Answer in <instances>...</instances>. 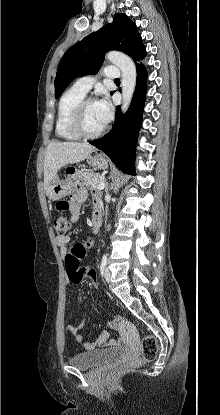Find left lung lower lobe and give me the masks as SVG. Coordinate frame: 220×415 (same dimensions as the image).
Listing matches in <instances>:
<instances>
[{
    "instance_id": "obj_1",
    "label": "left lung lower lobe",
    "mask_w": 220,
    "mask_h": 415,
    "mask_svg": "<svg viewBox=\"0 0 220 415\" xmlns=\"http://www.w3.org/2000/svg\"><path fill=\"white\" fill-rule=\"evenodd\" d=\"M136 70V89L125 116H121L120 106L117 107L116 121L112 131L102 138L90 142L105 152L124 173L128 174H135V150L147 90L146 68L138 61Z\"/></svg>"
}]
</instances>
